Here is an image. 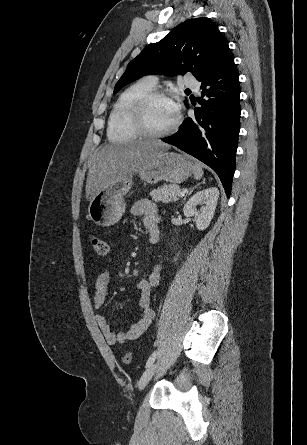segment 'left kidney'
Returning a JSON list of instances; mask_svg holds the SVG:
<instances>
[{
    "instance_id": "5707ae66",
    "label": "left kidney",
    "mask_w": 307,
    "mask_h": 445,
    "mask_svg": "<svg viewBox=\"0 0 307 445\" xmlns=\"http://www.w3.org/2000/svg\"><path fill=\"white\" fill-rule=\"evenodd\" d=\"M219 196V190L216 186L204 188L193 194L186 204H184L183 212L185 216H194L198 231H204L210 225ZM197 204H205L201 210H197Z\"/></svg>"
}]
</instances>
